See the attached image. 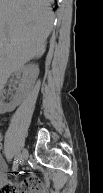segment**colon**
Returning <instances> with one entry per match:
<instances>
[{
    "instance_id": "obj_1",
    "label": "colon",
    "mask_w": 103,
    "mask_h": 193,
    "mask_svg": "<svg viewBox=\"0 0 103 193\" xmlns=\"http://www.w3.org/2000/svg\"><path fill=\"white\" fill-rule=\"evenodd\" d=\"M18 190L20 191V193H26V189L22 186H20Z\"/></svg>"
}]
</instances>
